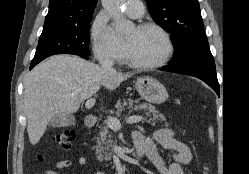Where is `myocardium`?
I'll use <instances>...</instances> for the list:
<instances>
[{"mask_svg": "<svg viewBox=\"0 0 249 174\" xmlns=\"http://www.w3.org/2000/svg\"><path fill=\"white\" fill-rule=\"evenodd\" d=\"M136 29L138 31H144L148 29H153V30L158 31L163 36V38L165 39L167 43V53L161 60L156 61V62L140 63V62H135V61L126 59L125 63L137 69H156V68H160L166 65L172 59L174 52H175V46H174V43H173V40L170 34L162 26H160L159 24L153 23V22L140 23L136 26Z\"/></svg>", "mask_w": 249, "mask_h": 174, "instance_id": "obj_1", "label": "myocardium"}]
</instances>
